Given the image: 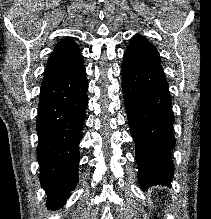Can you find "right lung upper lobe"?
<instances>
[{"instance_id":"obj_1","label":"right lung upper lobe","mask_w":211,"mask_h":219,"mask_svg":"<svg viewBox=\"0 0 211 219\" xmlns=\"http://www.w3.org/2000/svg\"><path fill=\"white\" fill-rule=\"evenodd\" d=\"M80 59H82L81 51L71 38L58 42L48 59L42 83Z\"/></svg>"}]
</instances>
